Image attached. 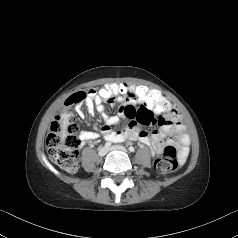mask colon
Returning <instances> with one entry per match:
<instances>
[{"label": "colon", "mask_w": 238, "mask_h": 238, "mask_svg": "<svg viewBox=\"0 0 238 238\" xmlns=\"http://www.w3.org/2000/svg\"><path fill=\"white\" fill-rule=\"evenodd\" d=\"M93 91L98 94L100 103H118V96L124 95L128 91V85L124 81L107 86H93ZM134 95L138 99L146 98L145 104L151 107V111H159L158 118L168 115L173 110L165 100L163 92L140 84L135 87ZM87 96L85 92L72 94L65 103L72 106L81 103ZM78 126L75 123V116L72 113L58 114L51 124L50 132L46 138L48 155L52 162L60 166L69 173H74L78 169V146L80 141L77 136ZM179 155L173 145H168L162 155L155 161V169L159 173H169L174 171L179 165Z\"/></svg>", "instance_id": "5ec220e1"}]
</instances>
